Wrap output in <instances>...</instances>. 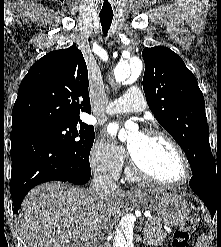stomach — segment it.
Here are the masks:
<instances>
[{"label": "stomach", "instance_id": "obj_1", "mask_svg": "<svg viewBox=\"0 0 221 247\" xmlns=\"http://www.w3.org/2000/svg\"><path fill=\"white\" fill-rule=\"evenodd\" d=\"M133 197L135 201L153 211L157 218L168 226H178L190 213L188 202L176 193H164L155 197L146 193H137Z\"/></svg>", "mask_w": 221, "mask_h": 247}]
</instances>
